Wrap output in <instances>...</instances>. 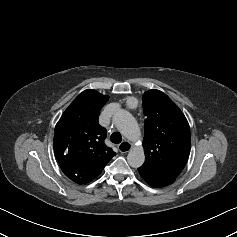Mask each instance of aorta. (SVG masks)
I'll return each instance as SVG.
<instances>
[{
    "instance_id": "762f6f07",
    "label": "aorta",
    "mask_w": 237,
    "mask_h": 237,
    "mask_svg": "<svg viewBox=\"0 0 237 237\" xmlns=\"http://www.w3.org/2000/svg\"><path fill=\"white\" fill-rule=\"evenodd\" d=\"M113 123L117 129L130 141H137L141 132L134 117L126 110L120 109L113 116ZM128 164L133 168L141 167L145 161L142 147H133L127 155Z\"/></svg>"
}]
</instances>
